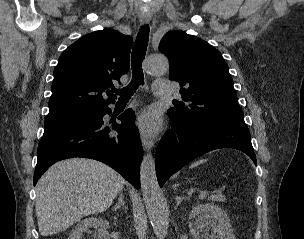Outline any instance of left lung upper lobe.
<instances>
[{"mask_svg":"<svg viewBox=\"0 0 304 239\" xmlns=\"http://www.w3.org/2000/svg\"><path fill=\"white\" fill-rule=\"evenodd\" d=\"M159 50L170 61L169 78L180 83L184 104L168 113L183 124L198 128L218 121L244 123L228 65L209 43L181 31L168 32Z\"/></svg>","mask_w":304,"mask_h":239,"instance_id":"obj_1","label":"left lung upper lobe"}]
</instances>
